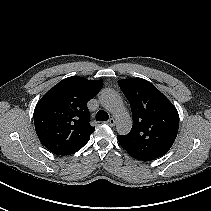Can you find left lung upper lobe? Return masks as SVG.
<instances>
[{
	"label": "left lung upper lobe",
	"mask_w": 211,
	"mask_h": 211,
	"mask_svg": "<svg viewBox=\"0 0 211 211\" xmlns=\"http://www.w3.org/2000/svg\"><path fill=\"white\" fill-rule=\"evenodd\" d=\"M118 84L129 100L133 117L131 131L119 135L121 146L132 156L155 159L165 155L178 132L175 106L146 80L123 79Z\"/></svg>",
	"instance_id": "5c2ea615"
}]
</instances>
